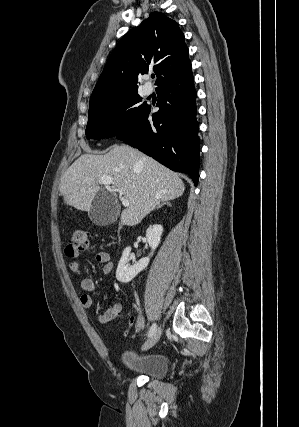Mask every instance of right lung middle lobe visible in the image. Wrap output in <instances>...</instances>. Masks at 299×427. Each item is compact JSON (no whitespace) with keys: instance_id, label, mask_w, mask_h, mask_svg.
<instances>
[{"instance_id":"1","label":"right lung middle lobe","mask_w":299,"mask_h":427,"mask_svg":"<svg viewBox=\"0 0 299 427\" xmlns=\"http://www.w3.org/2000/svg\"><path fill=\"white\" fill-rule=\"evenodd\" d=\"M137 91L108 97L89 105L87 138L101 139L118 136L133 128L150 106L139 105Z\"/></svg>"}]
</instances>
